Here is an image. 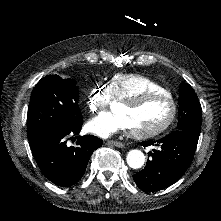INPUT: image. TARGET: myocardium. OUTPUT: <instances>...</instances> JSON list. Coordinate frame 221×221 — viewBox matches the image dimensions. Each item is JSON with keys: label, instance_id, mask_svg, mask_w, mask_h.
<instances>
[{"label": "myocardium", "instance_id": "f54148a6", "mask_svg": "<svg viewBox=\"0 0 221 221\" xmlns=\"http://www.w3.org/2000/svg\"><path fill=\"white\" fill-rule=\"evenodd\" d=\"M160 94V95H158ZM152 94L151 96H141L140 98L132 97L125 100V107L132 109H140V106L147 105H165V114L161 115V118H155L149 122H138V126L135 129H130L133 136L139 138H154L157 134L160 133V130L170 122L171 116H174L175 103L172 101L171 97L168 94L158 93ZM163 94V95H162ZM132 130V131H131Z\"/></svg>", "mask_w": 221, "mask_h": 221}]
</instances>
